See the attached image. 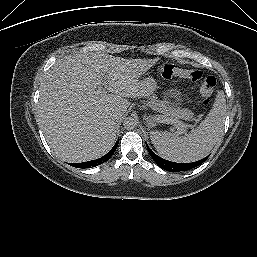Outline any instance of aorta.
<instances>
[{"mask_svg":"<svg viewBox=\"0 0 257 257\" xmlns=\"http://www.w3.org/2000/svg\"><path fill=\"white\" fill-rule=\"evenodd\" d=\"M137 119L136 118H133V117H127L125 118L124 122H123V125H124V128L127 129V130H133L134 128H136L137 126Z\"/></svg>","mask_w":257,"mask_h":257,"instance_id":"1","label":"aorta"}]
</instances>
